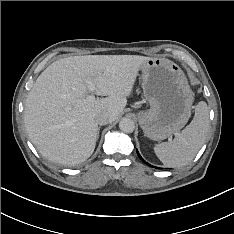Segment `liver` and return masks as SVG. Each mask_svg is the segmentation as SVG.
Segmentation results:
<instances>
[{
  "label": "liver",
  "instance_id": "liver-1",
  "mask_svg": "<svg viewBox=\"0 0 234 234\" xmlns=\"http://www.w3.org/2000/svg\"><path fill=\"white\" fill-rule=\"evenodd\" d=\"M149 57L139 55H86L59 59L49 65L30 90L24 109L28 136L50 161L75 165L94 152L100 112L116 120L127 104L138 71ZM95 94L89 101L87 81Z\"/></svg>",
  "mask_w": 234,
  "mask_h": 234
}]
</instances>
